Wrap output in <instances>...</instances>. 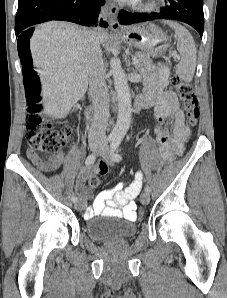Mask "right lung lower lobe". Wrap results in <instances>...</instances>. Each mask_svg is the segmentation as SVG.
Here are the masks:
<instances>
[{
  "instance_id": "right-lung-lower-lobe-1",
  "label": "right lung lower lobe",
  "mask_w": 227,
  "mask_h": 298,
  "mask_svg": "<svg viewBox=\"0 0 227 298\" xmlns=\"http://www.w3.org/2000/svg\"><path fill=\"white\" fill-rule=\"evenodd\" d=\"M104 0H19L15 19V34L18 37V53L21 64L32 65L29 39L34 28L28 27L50 20H65L85 26L107 27L98 21ZM30 69L23 67L24 78Z\"/></svg>"
}]
</instances>
